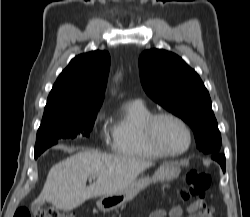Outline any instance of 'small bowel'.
Wrapping results in <instances>:
<instances>
[{"label": "small bowel", "mask_w": 250, "mask_h": 217, "mask_svg": "<svg viewBox=\"0 0 250 217\" xmlns=\"http://www.w3.org/2000/svg\"><path fill=\"white\" fill-rule=\"evenodd\" d=\"M187 211L189 212V217H209L207 214L200 213L197 206L193 204L187 207ZM182 214V207L174 206L169 210L157 209L149 217H182Z\"/></svg>", "instance_id": "obj_1"}]
</instances>
